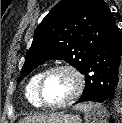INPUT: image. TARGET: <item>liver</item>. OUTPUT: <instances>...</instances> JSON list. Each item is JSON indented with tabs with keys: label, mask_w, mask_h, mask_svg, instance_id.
<instances>
[{
	"label": "liver",
	"mask_w": 122,
	"mask_h": 123,
	"mask_svg": "<svg viewBox=\"0 0 122 123\" xmlns=\"http://www.w3.org/2000/svg\"><path fill=\"white\" fill-rule=\"evenodd\" d=\"M49 115L28 116L23 118L20 123H44Z\"/></svg>",
	"instance_id": "liver-1"
}]
</instances>
